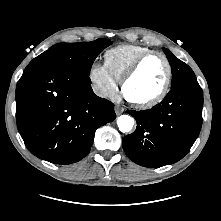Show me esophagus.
Instances as JSON below:
<instances>
[{
	"instance_id": "esophagus-1",
	"label": "esophagus",
	"mask_w": 221,
	"mask_h": 221,
	"mask_svg": "<svg viewBox=\"0 0 221 221\" xmlns=\"http://www.w3.org/2000/svg\"><path fill=\"white\" fill-rule=\"evenodd\" d=\"M125 111V108L121 105H115V113L116 115H120Z\"/></svg>"
}]
</instances>
